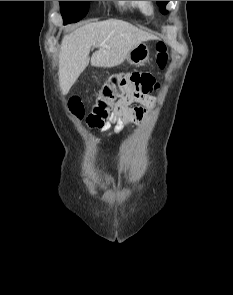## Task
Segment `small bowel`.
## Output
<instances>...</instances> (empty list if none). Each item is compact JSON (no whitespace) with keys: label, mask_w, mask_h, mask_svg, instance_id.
<instances>
[{"label":"small bowel","mask_w":233,"mask_h":295,"mask_svg":"<svg viewBox=\"0 0 233 295\" xmlns=\"http://www.w3.org/2000/svg\"><path fill=\"white\" fill-rule=\"evenodd\" d=\"M156 99L152 95H142L138 98H123L115 103V107L108 120L100 127L101 131H107L112 126L118 131L123 123L129 119H143L148 114V109L144 106L132 107L133 103L142 105H153Z\"/></svg>","instance_id":"c3829d8e"}]
</instances>
